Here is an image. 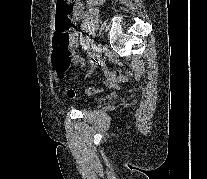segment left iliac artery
<instances>
[{"instance_id":"obj_1","label":"left iliac artery","mask_w":207,"mask_h":179,"mask_svg":"<svg viewBox=\"0 0 207 179\" xmlns=\"http://www.w3.org/2000/svg\"><path fill=\"white\" fill-rule=\"evenodd\" d=\"M91 48L92 49L89 52V60H88L89 64H92L94 58L96 57V53H97V50H98V45L97 44H92Z\"/></svg>"}]
</instances>
